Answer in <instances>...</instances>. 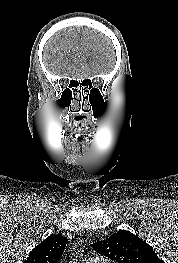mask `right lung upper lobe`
Here are the masks:
<instances>
[{"mask_svg": "<svg viewBox=\"0 0 178 263\" xmlns=\"http://www.w3.org/2000/svg\"><path fill=\"white\" fill-rule=\"evenodd\" d=\"M66 244L65 237L51 235L29 253L24 263H58Z\"/></svg>", "mask_w": 178, "mask_h": 263, "instance_id": "1", "label": "right lung upper lobe"}]
</instances>
